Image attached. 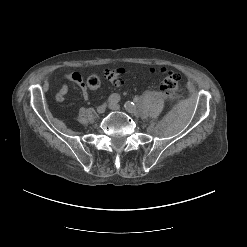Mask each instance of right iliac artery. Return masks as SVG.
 Returning <instances> with one entry per match:
<instances>
[{
	"label": "right iliac artery",
	"mask_w": 247,
	"mask_h": 247,
	"mask_svg": "<svg viewBox=\"0 0 247 247\" xmlns=\"http://www.w3.org/2000/svg\"><path fill=\"white\" fill-rule=\"evenodd\" d=\"M119 101H120V96L116 93L111 94L108 98L109 103H118Z\"/></svg>",
	"instance_id": "obj_1"
}]
</instances>
